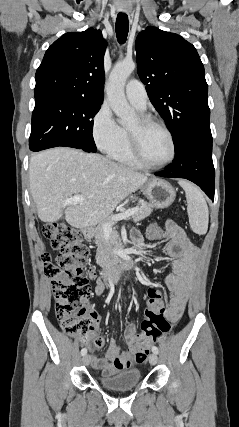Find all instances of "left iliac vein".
<instances>
[{"instance_id":"4c4485c4","label":"left iliac vein","mask_w":239,"mask_h":427,"mask_svg":"<svg viewBox=\"0 0 239 427\" xmlns=\"http://www.w3.org/2000/svg\"><path fill=\"white\" fill-rule=\"evenodd\" d=\"M157 362H158L157 354L152 353V354L149 356V363H150L151 365H156V364H157Z\"/></svg>"}]
</instances>
